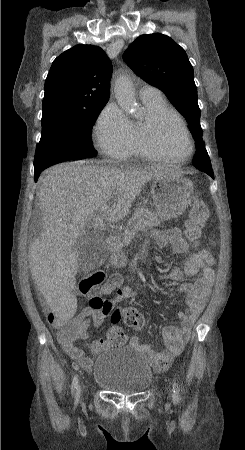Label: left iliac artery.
Here are the masks:
<instances>
[{
  "instance_id": "1",
  "label": "left iliac artery",
  "mask_w": 245,
  "mask_h": 450,
  "mask_svg": "<svg viewBox=\"0 0 245 450\" xmlns=\"http://www.w3.org/2000/svg\"><path fill=\"white\" fill-rule=\"evenodd\" d=\"M173 401L174 402L179 401V386L176 380H173Z\"/></svg>"
}]
</instances>
